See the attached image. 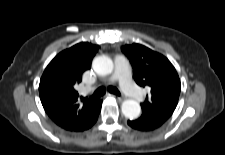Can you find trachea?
Returning a JSON list of instances; mask_svg holds the SVG:
<instances>
[{
	"label": "trachea",
	"instance_id": "trachea-1",
	"mask_svg": "<svg viewBox=\"0 0 225 155\" xmlns=\"http://www.w3.org/2000/svg\"><path fill=\"white\" fill-rule=\"evenodd\" d=\"M108 91L112 94H115V95H118L120 96V92L119 90L116 88V87H112V86H109L108 87ZM105 94V88L104 87H99L95 92L94 94L92 95V98H96V97H101Z\"/></svg>",
	"mask_w": 225,
	"mask_h": 155
}]
</instances>
